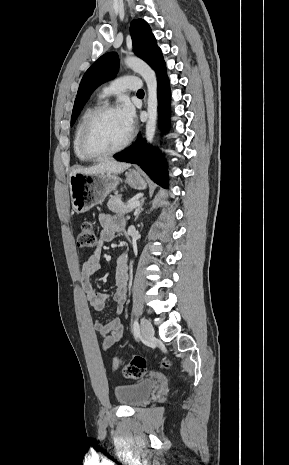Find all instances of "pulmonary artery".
<instances>
[{
  "label": "pulmonary artery",
  "instance_id": "obj_1",
  "mask_svg": "<svg viewBox=\"0 0 289 465\" xmlns=\"http://www.w3.org/2000/svg\"><path fill=\"white\" fill-rule=\"evenodd\" d=\"M141 87L140 79L136 76H121L111 81L104 87L101 96L108 97L112 94H120L127 90L138 91Z\"/></svg>",
  "mask_w": 289,
  "mask_h": 465
}]
</instances>
